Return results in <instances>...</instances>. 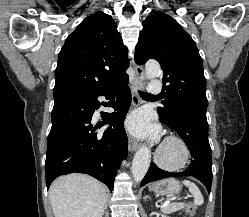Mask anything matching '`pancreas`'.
I'll return each mask as SVG.
<instances>
[{"label":"pancreas","mask_w":249,"mask_h":217,"mask_svg":"<svg viewBox=\"0 0 249 217\" xmlns=\"http://www.w3.org/2000/svg\"><path fill=\"white\" fill-rule=\"evenodd\" d=\"M185 208V204L184 203H170L168 206H166L165 208H163V212L164 213H174L176 211H179L181 209Z\"/></svg>","instance_id":"obj_1"}]
</instances>
